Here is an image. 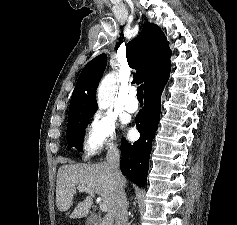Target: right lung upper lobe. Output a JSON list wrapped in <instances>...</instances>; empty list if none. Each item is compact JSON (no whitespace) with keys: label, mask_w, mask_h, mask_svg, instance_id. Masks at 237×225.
<instances>
[{"label":"right lung upper lobe","mask_w":237,"mask_h":225,"mask_svg":"<svg viewBox=\"0 0 237 225\" xmlns=\"http://www.w3.org/2000/svg\"><path fill=\"white\" fill-rule=\"evenodd\" d=\"M129 66L137 70L133 83L144 82V91L168 79L171 69V50L162 30L146 23L140 34L126 46ZM107 65V56L92 59L81 71L72 93L69 112H96V88Z\"/></svg>","instance_id":"right-lung-upper-lobe-1"}]
</instances>
